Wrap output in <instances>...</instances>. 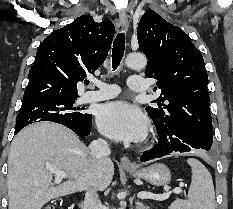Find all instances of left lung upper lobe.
Listing matches in <instances>:
<instances>
[{
	"label": "left lung upper lobe",
	"instance_id": "5c2ea615",
	"mask_svg": "<svg viewBox=\"0 0 233 209\" xmlns=\"http://www.w3.org/2000/svg\"><path fill=\"white\" fill-rule=\"evenodd\" d=\"M137 39L148 59L145 75L158 80L154 91L161 92L152 102L157 106L146 107L154 124L186 123L213 135L204 59L189 36L148 10L139 21Z\"/></svg>",
	"mask_w": 233,
	"mask_h": 209
}]
</instances>
